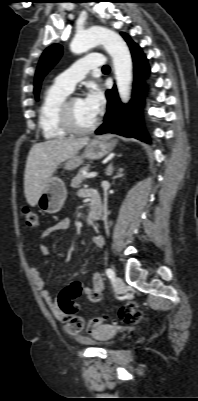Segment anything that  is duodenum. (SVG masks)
<instances>
[{"instance_id":"1","label":"duodenum","mask_w":198,"mask_h":401,"mask_svg":"<svg viewBox=\"0 0 198 401\" xmlns=\"http://www.w3.org/2000/svg\"><path fill=\"white\" fill-rule=\"evenodd\" d=\"M89 197L91 200V210H90L89 217L87 219V223H88V225L93 226L101 218L103 206H102L101 198L97 192L95 194L89 195Z\"/></svg>"}]
</instances>
